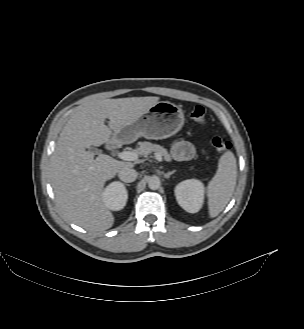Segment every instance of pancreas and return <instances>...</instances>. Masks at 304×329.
I'll return each instance as SVG.
<instances>
[{"mask_svg": "<svg viewBox=\"0 0 304 329\" xmlns=\"http://www.w3.org/2000/svg\"><path fill=\"white\" fill-rule=\"evenodd\" d=\"M135 151L139 155L144 156V157H147L149 154H151L153 152L159 153L161 156L164 157V159L166 161H171V156L168 153V151L164 147H162L158 144H152L147 141L139 142L137 147L135 148Z\"/></svg>", "mask_w": 304, "mask_h": 329, "instance_id": "obj_1", "label": "pancreas"}]
</instances>
